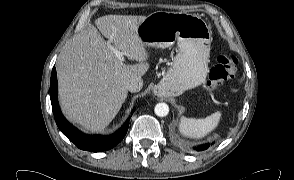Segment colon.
I'll use <instances>...</instances> for the list:
<instances>
[{"label": "colon", "instance_id": "5ec220e1", "mask_svg": "<svg viewBox=\"0 0 294 180\" xmlns=\"http://www.w3.org/2000/svg\"><path fill=\"white\" fill-rule=\"evenodd\" d=\"M237 71V59L234 56L222 54L217 57V64L211 68L206 89L209 92L218 90L223 82L233 78Z\"/></svg>", "mask_w": 294, "mask_h": 180}]
</instances>
